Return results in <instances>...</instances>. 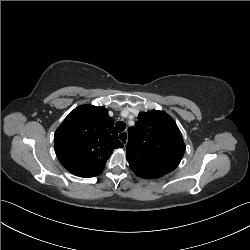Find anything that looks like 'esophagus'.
Wrapping results in <instances>:
<instances>
[{
    "mask_svg": "<svg viewBox=\"0 0 250 250\" xmlns=\"http://www.w3.org/2000/svg\"><path fill=\"white\" fill-rule=\"evenodd\" d=\"M118 137H119V140L125 146L127 144V140H128V134H127V132L123 131V132L119 133Z\"/></svg>",
    "mask_w": 250,
    "mask_h": 250,
    "instance_id": "34e87169",
    "label": "esophagus"
}]
</instances>
